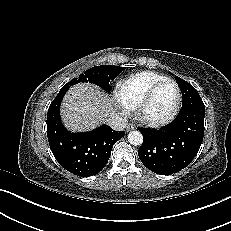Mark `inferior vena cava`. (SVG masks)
I'll list each match as a JSON object with an SVG mask.
<instances>
[{
	"instance_id": "inferior-vena-cava-1",
	"label": "inferior vena cava",
	"mask_w": 231,
	"mask_h": 231,
	"mask_svg": "<svg viewBox=\"0 0 231 231\" xmlns=\"http://www.w3.org/2000/svg\"><path fill=\"white\" fill-rule=\"evenodd\" d=\"M106 124L116 131L124 130L128 124V119L122 113H112L107 119Z\"/></svg>"
}]
</instances>
